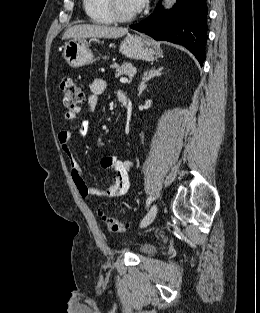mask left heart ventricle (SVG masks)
I'll return each mask as SVG.
<instances>
[{
  "mask_svg": "<svg viewBox=\"0 0 260 313\" xmlns=\"http://www.w3.org/2000/svg\"><path fill=\"white\" fill-rule=\"evenodd\" d=\"M117 10L124 15L134 13L135 6L133 0H115Z\"/></svg>",
  "mask_w": 260,
  "mask_h": 313,
  "instance_id": "1",
  "label": "left heart ventricle"
}]
</instances>
